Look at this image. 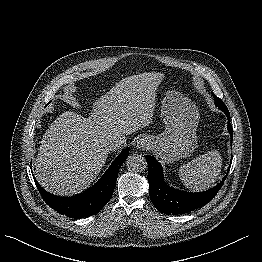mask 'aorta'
Masks as SVG:
<instances>
[{
  "label": "aorta",
  "mask_w": 262,
  "mask_h": 262,
  "mask_svg": "<svg viewBox=\"0 0 262 262\" xmlns=\"http://www.w3.org/2000/svg\"><path fill=\"white\" fill-rule=\"evenodd\" d=\"M126 165L129 169L133 171H141L147 167L145 158L138 154L130 155L126 159Z\"/></svg>",
  "instance_id": "aorta-1"
}]
</instances>
